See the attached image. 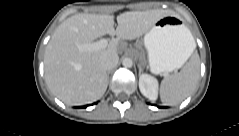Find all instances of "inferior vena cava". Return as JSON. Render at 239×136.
<instances>
[{
  "mask_svg": "<svg viewBox=\"0 0 239 136\" xmlns=\"http://www.w3.org/2000/svg\"><path fill=\"white\" fill-rule=\"evenodd\" d=\"M119 57L116 54H111L102 57L101 63L105 70L110 71L118 64Z\"/></svg>",
  "mask_w": 239,
  "mask_h": 136,
  "instance_id": "1",
  "label": "inferior vena cava"
}]
</instances>
